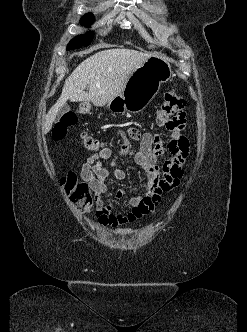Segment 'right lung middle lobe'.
I'll use <instances>...</instances> for the list:
<instances>
[{
	"label": "right lung middle lobe",
	"mask_w": 247,
	"mask_h": 332,
	"mask_svg": "<svg viewBox=\"0 0 247 332\" xmlns=\"http://www.w3.org/2000/svg\"><path fill=\"white\" fill-rule=\"evenodd\" d=\"M94 20H95V18L93 16V14L88 13L81 18L80 22L84 26H90L94 22ZM93 35H94L93 32H88L85 35L77 36L75 39L70 41V43L67 46V50L76 49L81 46L88 45L90 43V41L92 40Z\"/></svg>",
	"instance_id": "right-lung-middle-lobe-1"
}]
</instances>
